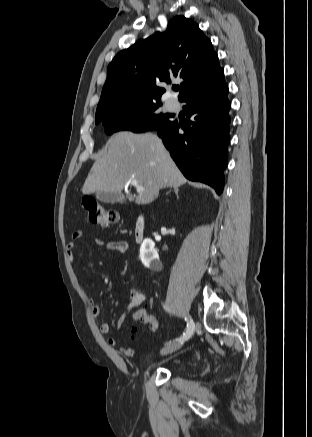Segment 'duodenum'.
<instances>
[{"mask_svg": "<svg viewBox=\"0 0 312 437\" xmlns=\"http://www.w3.org/2000/svg\"><path fill=\"white\" fill-rule=\"evenodd\" d=\"M146 233V219L144 216H139L134 225V235L137 243H141L145 238Z\"/></svg>", "mask_w": 312, "mask_h": 437, "instance_id": "duodenum-1", "label": "duodenum"}]
</instances>
